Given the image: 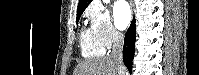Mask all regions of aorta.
<instances>
[{
	"label": "aorta",
	"mask_w": 199,
	"mask_h": 75,
	"mask_svg": "<svg viewBox=\"0 0 199 75\" xmlns=\"http://www.w3.org/2000/svg\"><path fill=\"white\" fill-rule=\"evenodd\" d=\"M103 2L107 4L110 2V0H103Z\"/></svg>",
	"instance_id": "aorta-1"
}]
</instances>
